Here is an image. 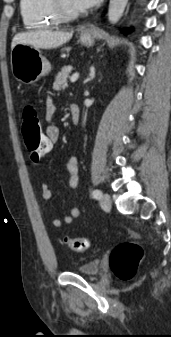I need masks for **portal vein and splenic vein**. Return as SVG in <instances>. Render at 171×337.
Returning <instances> with one entry per match:
<instances>
[{
    "label": "portal vein and splenic vein",
    "instance_id": "obj_1",
    "mask_svg": "<svg viewBox=\"0 0 171 337\" xmlns=\"http://www.w3.org/2000/svg\"><path fill=\"white\" fill-rule=\"evenodd\" d=\"M79 78V73H74L71 77H70V81L73 83L75 81H77Z\"/></svg>",
    "mask_w": 171,
    "mask_h": 337
}]
</instances>
